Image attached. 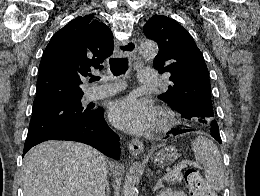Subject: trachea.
Masks as SVG:
<instances>
[{
  "instance_id": "trachea-1",
  "label": "trachea",
  "mask_w": 260,
  "mask_h": 196,
  "mask_svg": "<svg viewBox=\"0 0 260 196\" xmlns=\"http://www.w3.org/2000/svg\"><path fill=\"white\" fill-rule=\"evenodd\" d=\"M110 70L115 76L124 75L128 70V59L126 57L110 58ZM100 80L99 76H91L90 82Z\"/></svg>"
}]
</instances>
